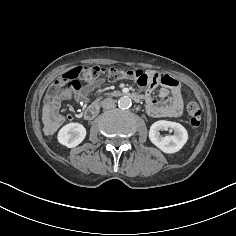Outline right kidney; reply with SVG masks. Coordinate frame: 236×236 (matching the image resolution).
<instances>
[{"label": "right kidney", "instance_id": "right-kidney-1", "mask_svg": "<svg viewBox=\"0 0 236 236\" xmlns=\"http://www.w3.org/2000/svg\"><path fill=\"white\" fill-rule=\"evenodd\" d=\"M86 136V129L80 123H69L58 132V142L68 148L79 145Z\"/></svg>", "mask_w": 236, "mask_h": 236}]
</instances>
